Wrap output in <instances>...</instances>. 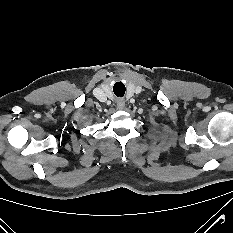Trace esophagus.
Wrapping results in <instances>:
<instances>
[{
	"label": "esophagus",
	"instance_id": "esophagus-1",
	"mask_svg": "<svg viewBox=\"0 0 233 233\" xmlns=\"http://www.w3.org/2000/svg\"><path fill=\"white\" fill-rule=\"evenodd\" d=\"M125 107V101L123 99H119L117 101V109L122 110Z\"/></svg>",
	"mask_w": 233,
	"mask_h": 233
}]
</instances>
